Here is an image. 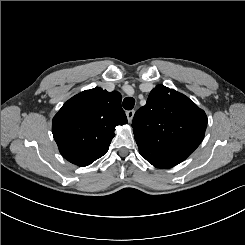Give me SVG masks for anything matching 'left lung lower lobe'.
I'll list each match as a JSON object with an SVG mask.
<instances>
[{
    "mask_svg": "<svg viewBox=\"0 0 245 245\" xmlns=\"http://www.w3.org/2000/svg\"><path fill=\"white\" fill-rule=\"evenodd\" d=\"M147 161L150 162L155 167L163 168V169L171 168V167L182 162L181 160H179V159H177L171 155H164V154L156 155Z\"/></svg>",
    "mask_w": 245,
    "mask_h": 245,
    "instance_id": "1",
    "label": "left lung lower lobe"
}]
</instances>
